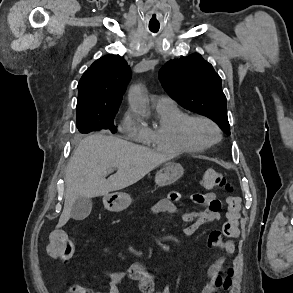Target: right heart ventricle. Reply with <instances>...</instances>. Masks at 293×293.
<instances>
[{
	"label": "right heart ventricle",
	"mask_w": 293,
	"mask_h": 293,
	"mask_svg": "<svg viewBox=\"0 0 293 293\" xmlns=\"http://www.w3.org/2000/svg\"><path fill=\"white\" fill-rule=\"evenodd\" d=\"M157 121L153 127H142L147 145L161 151L184 153L197 152L199 149L184 138L182 127L188 117L175 103L156 107Z\"/></svg>",
	"instance_id": "e07e8e85"
}]
</instances>
